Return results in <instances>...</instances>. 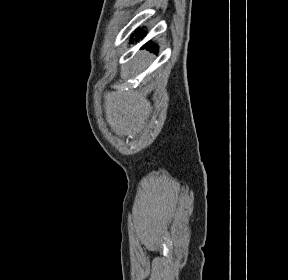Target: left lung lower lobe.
Here are the masks:
<instances>
[{
    "label": "left lung lower lobe",
    "instance_id": "obj_1",
    "mask_svg": "<svg viewBox=\"0 0 288 280\" xmlns=\"http://www.w3.org/2000/svg\"><path fill=\"white\" fill-rule=\"evenodd\" d=\"M146 31H143V34H140L139 31L135 32L134 35L136 36L135 41H138L140 38L145 36ZM142 48H146L147 50H151L152 52H157V46L156 44L152 45L150 43H146Z\"/></svg>",
    "mask_w": 288,
    "mask_h": 280
}]
</instances>
